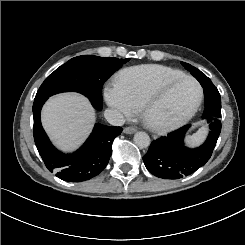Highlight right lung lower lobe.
Returning a JSON list of instances; mask_svg holds the SVG:
<instances>
[{"label": "right lung lower lobe", "mask_w": 245, "mask_h": 245, "mask_svg": "<svg viewBox=\"0 0 245 245\" xmlns=\"http://www.w3.org/2000/svg\"><path fill=\"white\" fill-rule=\"evenodd\" d=\"M48 98L33 103V135L36 147L47 169L68 182H80L97 176L107 165L112 153V142L121 134V127L96 124L84 145L71 155L57 150L49 141L40 121V111Z\"/></svg>", "instance_id": "obj_1"}]
</instances>
